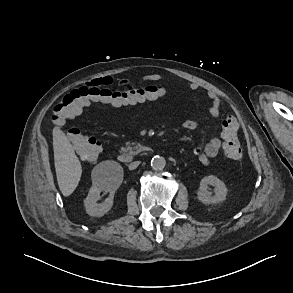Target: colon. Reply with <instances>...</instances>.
Wrapping results in <instances>:
<instances>
[{
    "label": "colon",
    "mask_w": 293,
    "mask_h": 293,
    "mask_svg": "<svg viewBox=\"0 0 293 293\" xmlns=\"http://www.w3.org/2000/svg\"><path fill=\"white\" fill-rule=\"evenodd\" d=\"M159 90L154 86L118 88L110 83L93 82L64 95L53 109V121L61 126L68 119L79 115L92 103L123 105L158 95ZM238 122L232 117H226L222 122L223 150L227 157L239 159L242 155L241 144L238 140ZM68 138L79 156L86 162H96L100 151L98 140L78 128L67 131Z\"/></svg>",
    "instance_id": "obj_1"
}]
</instances>
